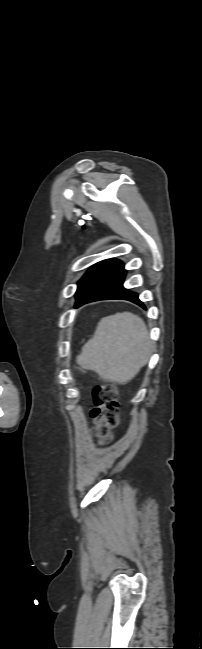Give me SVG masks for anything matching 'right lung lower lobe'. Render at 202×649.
Returning a JSON list of instances; mask_svg holds the SVG:
<instances>
[{
	"mask_svg": "<svg viewBox=\"0 0 202 649\" xmlns=\"http://www.w3.org/2000/svg\"><path fill=\"white\" fill-rule=\"evenodd\" d=\"M126 270L123 262L113 260L86 287L77 305L105 299L128 300L145 308L138 295L123 287Z\"/></svg>",
	"mask_w": 202,
	"mask_h": 649,
	"instance_id": "1",
	"label": "right lung lower lobe"
}]
</instances>
